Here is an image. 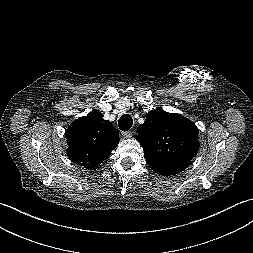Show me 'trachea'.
<instances>
[{
	"mask_svg": "<svg viewBox=\"0 0 253 253\" xmlns=\"http://www.w3.org/2000/svg\"><path fill=\"white\" fill-rule=\"evenodd\" d=\"M120 130L128 131L133 125V119L129 114H124L118 121Z\"/></svg>",
	"mask_w": 253,
	"mask_h": 253,
	"instance_id": "obj_1",
	"label": "trachea"
}]
</instances>
